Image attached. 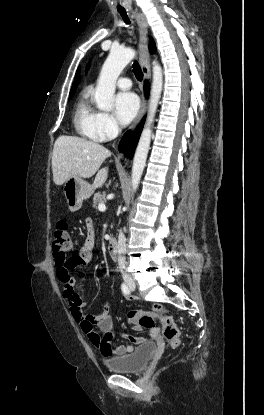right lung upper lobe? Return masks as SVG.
<instances>
[{
  "label": "right lung upper lobe",
  "instance_id": "cb5924a9",
  "mask_svg": "<svg viewBox=\"0 0 264 415\" xmlns=\"http://www.w3.org/2000/svg\"><path fill=\"white\" fill-rule=\"evenodd\" d=\"M149 48H150V51H151L152 53H153V52H155V51H156L155 43H154V42H152V43L149 45ZM78 71H79V69H78ZM78 71H77V73H76V76H75V81H74V83H73V85H72V88H71V91H70V96H73V94L75 93L76 87H77V85H78V83H79Z\"/></svg>",
  "mask_w": 264,
  "mask_h": 415
}]
</instances>
